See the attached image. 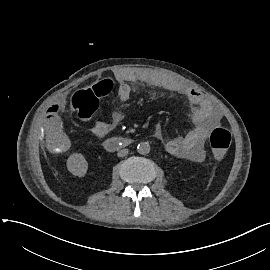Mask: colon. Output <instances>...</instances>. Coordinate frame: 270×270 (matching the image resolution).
<instances>
[{"instance_id": "5ec220e1", "label": "colon", "mask_w": 270, "mask_h": 270, "mask_svg": "<svg viewBox=\"0 0 270 270\" xmlns=\"http://www.w3.org/2000/svg\"><path fill=\"white\" fill-rule=\"evenodd\" d=\"M111 86L107 83H97L89 88L77 90L71 97V109L80 121H88L97 113L100 98L110 93ZM210 146L216 161L225 159V151L232 141L231 131L225 127H216L209 136Z\"/></svg>"}]
</instances>
